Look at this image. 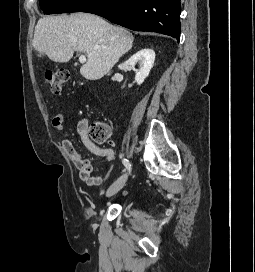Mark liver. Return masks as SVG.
<instances>
[{
    "mask_svg": "<svg viewBox=\"0 0 255 272\" xmlns=\"http://www.w3.org/2000/svg\"><path fill=\"white\" fill-rule=\"evenodd\" d=\"M133 35L89 13L44 16L39 19L33 47L54 62H68L75 51L85 52L87 62L80 68L88 80L101 79L133 45Z\"/></svg>",
    "mask_w": 255,
    "mask_h": 272,
    "instance_id": "liver-1",
    "label": "liver"
}]
</instances>
